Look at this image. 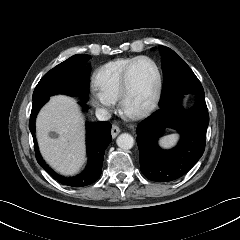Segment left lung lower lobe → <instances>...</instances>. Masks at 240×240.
I'll return each instance as SVG.
<instances>
[{"label": "left lung lower lobe", "mask_w": 240, "mask_h": 240, "mask_svg": "<svg viewBox=\"0 0 240 240\" xmlns=\"http://www.w3.org/2000/svg\"><path fill=\"white\" fill-rule=\"evenodd\" d=\"M181 99L182 95L171 98L136 128L140 170L149 180H176L203 155L209 124L205 96L196 94L195 105L187 110L182 108ZM167 127L180 134L178 145L171 150L158 146V139Z\"/></svg>", "instance_id": "obj_1"}]
</instances>
